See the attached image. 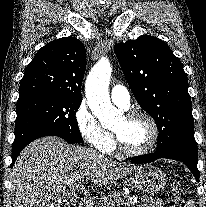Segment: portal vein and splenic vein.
<instances>
[{"instance_id":"18ae733b","label":"portal vein and splenic vein","mask_w":206,"mask_h":207,"mask_svg":"<svg viewBox=\"0 0 206 207\" xmlns=\"http://www.w3.org/2000/svg\"><path fill=\"white\" fill-rule=\"evenodd\" d=\"M80 189H82V185H78V186H76L75 188H73L69 193H68V195H76V192H79L80 191Z\"/></svg>"}]
</instances>
